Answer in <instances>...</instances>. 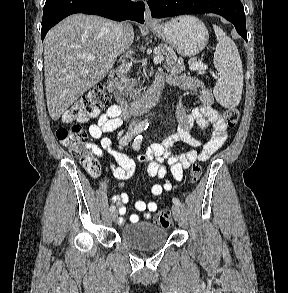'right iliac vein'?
<instances>
[{
	"mask_svg": "<svg viewBox=\"0 0 288 293\" xmlns=\"http://www.w3.org/2000/svg\"><path fill=\"white\" fill-rule=\"evenodd\" d=\"M117 216H118V213H117L116 210H114V211L111 212V219H112L113 221L116 220Z\"/></svg>",
	"mask_w": 288,
	"mask_h": 293,
	"instance_id": "right-iliac-vein-1",
	"label": "right iliac vein"
}]
</instances>
